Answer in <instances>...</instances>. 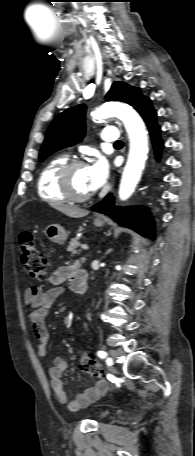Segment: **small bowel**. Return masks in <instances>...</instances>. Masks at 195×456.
<instances>
[{"label": "small bowel", "instance_id": "small-bowel-1", "mask_svg": "<svg viewBox=\"0 0 195 456\" xmlns=\"http://www.w3.org/2000/svg\"><path fill=\"white\" fill-rule=\"evenodd\" d=\"M73 272V267H60L56 269L50 277V282L53 284L51 288L43 290L38 287H31L24 291V302L32 309L30 319L35 336L40 342L38 346V354L41 357H45L48 354L49 333L45 324L47 311L56 299L63 295L64 288L61 284L64 281L69 280L71 285ZM67 367V361L62 357H57L54 359L52 366L49 368L48 375L50 377V385L54 394L57 396L58 400L65 404L70 410H77L88 405L105 391V382L97 381L93 386L85 389L74 399H69L61 380L62 374Z\"/></svg>", "mask_w": 195, "mask_h": 456}]
</instances>
